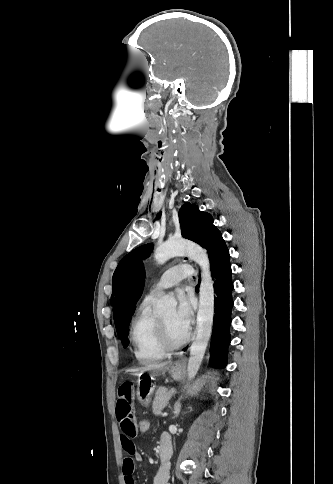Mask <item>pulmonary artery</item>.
<instances>
[{
	"mask_svg": "<svg viewBox=\"0 0 333 484\" xmlns=\"http://www.w3.org/2000/svg\"><path fill=\"white\" fill-rule=\"evenodd\" d=\"M192 275V268L188 264H178L166 270L150 289L149 296H154L162 289L170 288L180 283L184 278Z\"/></svg>",
	"mask_w": 333,
	"mask_h": 484,
	"instance_id": "1",
	"label": "pulmonary artery"
}]
</instances>
